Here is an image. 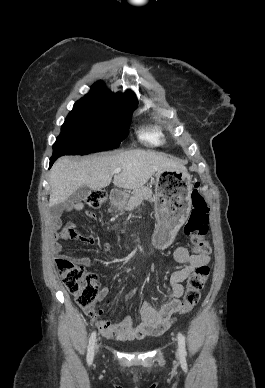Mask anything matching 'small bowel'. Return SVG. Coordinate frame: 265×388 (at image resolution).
I'll use <instances>...</instances> for the list:
<instances>
[{
  "mask_svg": "<svg viewBox=\"0 0 265 388\" xmlns=\"http://www.w3.org/2000/svg\"><path fill=\"white\" fill-rule=\"evenodd\" d=\"M84 207L85 205L83 202H76L71 206V208L76 211H81L84 209ZM86 215L92 219L96 217L95 213L92 211H87ZM59 225L60 221L58 217H54L53 226L57 228ZM59 238L60 236L56 235V240ZM79 240L88 245H95L97 242L96 238L92 235L80 236ZM53 250L56 253L61 251V245L59 242H54ZM59 258H67L73 263L82 267L91 265V260L89 258L58 255L57 259ZM174 258L178 263L183 264V267L171 274L169 279V294L164 304L159 309H156L150 303L143 302L140 309V322L138 324H134L130 317L125 318L118 324H113L108 320L97 321L96 326L104 337L117 341H128L133 339H141L149 335L159 334L170 327L173 321V317L175 313H177V309L181 303L179 299L184 292L182 283L197 267L205 266L210 261L208 255L192 254L188 251L187 248L183 246H178L175 248ZM134 291L135 290H131L127 295V298H130ZM109 293V287H103L99 292V299H105ZM111 305V302L107 304L108 307H111ZM101 313L102 312L100 310H96L94 311V316H98Z\"/></svg>",
  "mask_w": 265,
  "mask_h": 388,
  "instance_id": "c3829d8e",
  "label": "small bowel"
}]
</instances>
